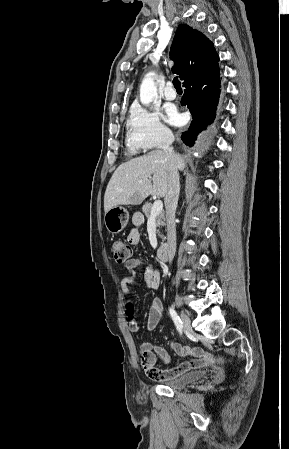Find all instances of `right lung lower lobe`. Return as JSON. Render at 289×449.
I'll list each match as a JSON object with an SVG mask.
<instances>
[{"instance_id": "obj_1", "label": "right lung lower lobe", "mask_w": 289, "mask_h": 449, "mask_svg": "<svg viewBox=\"0 0 289 449\" xmlns=\"http://www.w3.org/2000/svg\"><path fill=\"white\" fill-rule=\"evenodd\" d=\"M186 90L181 105L187 106L193 120L182 140L186 145L193 146L197 134L205 130L213 122L220 95V74L218 64L212 67L205 76L184 84Z\"/></svg>"}]
</instances>
